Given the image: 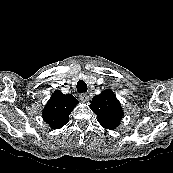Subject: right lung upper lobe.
<instances>
[{
  "label": "right lung upper lobe",
  "mask_w": 173,
  "mask_h": 173,
  "mask_svg": "<svg viewBox=\"0 0 173 173\" xmlns=\"http://www.w3.org/2000/svg\"><path fill=\"white\" fill-rule=\"evenodd\" d=\"M78 101L72 94L56 90L43 110V119L51 128L59 129L69 120V115Z\"/></svg>",
  "instance_id": "cb5924a9"
}]
</instances>
